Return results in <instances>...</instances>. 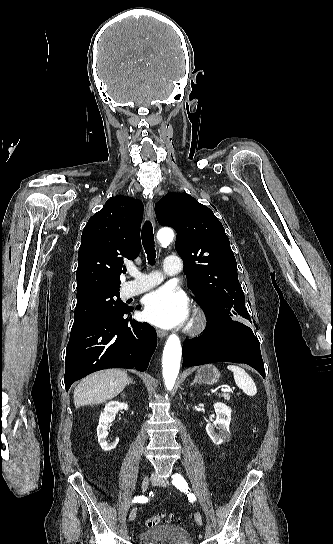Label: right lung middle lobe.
I'll use <instances>...</instances> for the list:
<instances>
[{
  "label": "right lung middle lobe",
  "instance_id": "obj_1",
  "mask_svg": "<svg viewBox=\"0 0 333 544\" xmlns=\"http://www.w3.org/2000/svg\"><path fill=\"white\" fill-rule=\"evenodd\" d=\"M128 307L118 291H107L77 299L71 334L83 331L97 322L124 312Z\"/></svg>",
  "mask_w": 333,
  "mask_h": 544
}]
</instances>
